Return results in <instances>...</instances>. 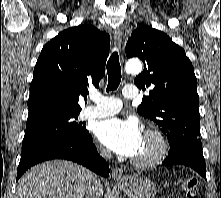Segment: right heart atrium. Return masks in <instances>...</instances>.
<instances>
[{
  "instance_id": "obj_1",
  "label": "right heart atrium",
  "mask_w": 221,
  "mask_h": 198,
  "mask_svg": "<svg viewBox=\"0 0 221 198\" xmlns=\"http://www.w3.org/2000/svg\"><path fill=\"white\" fill-rule=\"evenodd\" d=\"M99 151H100V154H101L103 157H108V156H109V152H108V150H106L105 148L101 147Z\"/></svg>"
}]
</instances>
